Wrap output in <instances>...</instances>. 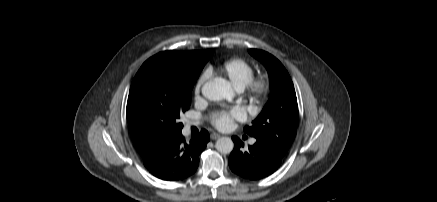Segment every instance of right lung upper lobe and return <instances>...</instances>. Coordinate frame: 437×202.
Masks as SVG:
<instances>
[{"label": "right lung upper lobe", "mask_w": 437, "mask_h": 202, "mask_svg": "<svg viewBox=\"0 0 437 202\" xmlns=\"http://www.w3.org/2000/svg\"><path fill=\"white\" fill-rule=\"evenodd\" d=\"M213 50H196V51H186V52H178L183 60L185 65L194 66L197 65L200 61L205 60L207 57L212 56ZM133 143L141 155L142 158L151 153L155 148H157L161 144L148 143L137 137L132 136Z\"/></svg>", "instance_id": "1"}]
</instances>
